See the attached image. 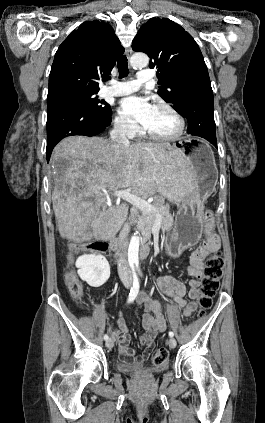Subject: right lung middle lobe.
<instances>
[{
  "mask_svg": "<svg viewBox=\"0 0 265 423\" xmlns=\"http://www.w3.org/2000/svg\"><path fill=\"white\" fill-rule=\"evenodd\" d=\"M98 91H88V90H71L66 91L54 96L47 97V104L58 100V99H70L75 100L92 111L104 115L109 116L111 115V108L110 105L104 102L103 100H99L95 95Z\"/></svg>",
  "mask_w": 265,
  "mask_h": 423,
  "instance_id": "1",
  "label": "right lung middle lobe"
}]
</instances>
